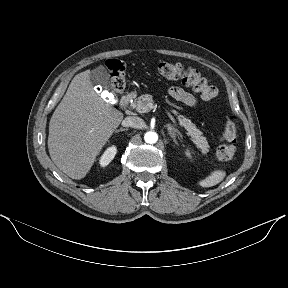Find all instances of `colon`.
Returning a JSON list of instances; mask_svg holds the SVG:
<instances>
[{"label": "colon", "instance_id": "1", "mask_svg": "<svg viewBox=\"0 0 288 288\" xmlns=\"http://www.w3.org/2000/svg\"><path fill=\"white\" fill-rule=\"evenodd\" d=\"M106 67L110 73L114 89L118 92L122 91L126 86L124 63L117 59H110L106 62ZM158 71L162 77L168 80H181L183 84L200 93L205 100H213L218 96V89L194 68L185 67L179 63L162 62L158 66ZM235 142L236 120L234 116H229L217 148L218 158L221 160L231 159L236 151Z\"/></svg>", "mask_w": 288, "mask_h": 288}]
</instances>
